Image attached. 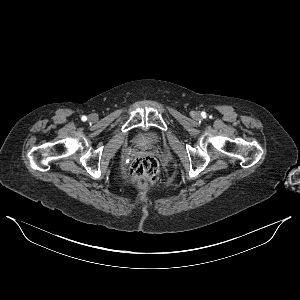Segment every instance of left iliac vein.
Listing matches in <instances>:
<instances>
[{"instance_id":"4c4485c4","label":"left iliac vein","mask_w":300,"mask_h":300,"mask_svg":"<svg viewBox=\"0 0 300 300\" xmlns=\"http://www.w3.org/2000/svg\"><path fill=\"white\" fill-rule=\"evenodd\" d=\"M195 117H196V118H198V117H199V114H198V113H196V114H195Z\"/></svg>"}]
</instances>
